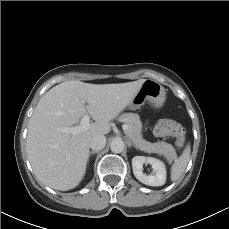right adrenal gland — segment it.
<instances>
[{
  "label": "right adrenal gland",
  "mask_w": 229,
  "mask_h": 229,
  "mask_svg": "<svg viewBox=\"0 0 229 229\" xmlns=\"http://www.w3.org/2000/svg\"><path fill=\"white\" fill-rule=\"evenodd\" d=\"M96 153H98V151H91V152H89L88 159L90 158L91 155L96 154Z\"/></svg>",
  "instance_id": "1"
}]
</instances>
